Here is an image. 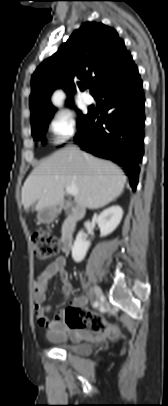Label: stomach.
Returning a JSON list of instances; mask_svg holds the SVG:
<instances>
[{
    "mask_svg": "<svg viewBox=\"0 0 168 406\" xmlns=\"http://www.w3.org/2000/svg\"><path fill=\"white\" fill-rule=\"evenodd\" d=\"M56 214L57 210L55 208H45L38 212L37 218L40 222L49 223L55 218Z\"/></svg>",
    "mask_w": 168,
    "mask_h": 406,
    "instance_id": "obj_1",
    "label": "stomach"
}]
</instances>
